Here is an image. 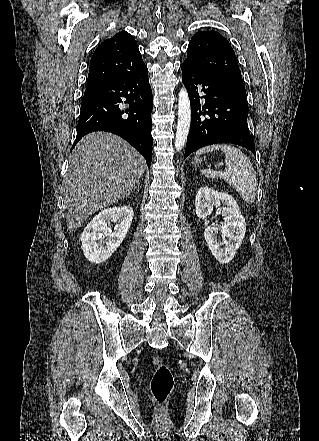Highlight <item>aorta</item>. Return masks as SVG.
Listing matches in <instances>:
<instances>
[{"label": "aorta", "instance_id": "aorta-1", "mask_svg": "<svg viewBox=\"0 0 319 441\" xmlns=\"http://www.w3.org/2000/svg\"><path fill=\"white\" fill-rule=\"evenodd\" d=\"M191 122V106L186 89L183 87L179 92L178 99V123L175 136V149L180 151L187 140Z\"/></svg>", "mask_w": 319, "mask_h": 441}]
</instances>
